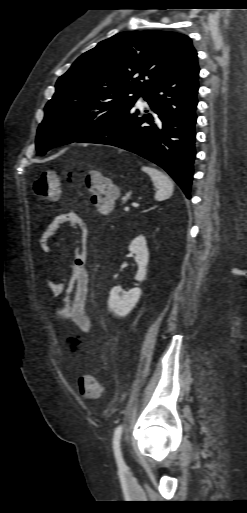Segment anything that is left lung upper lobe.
Listing matches in <instances>:
<instances>
[{"mask_svg":"<svg viewBox=\"0 0 247 513\" xmlns=\"http://www.w3.org/2000/svg\"><path fill=\"white\" fill-rule=\"evenodd\" d=\"M196 56L191 39L174 32H122L100 42L58 79L38 128L37 155L98 131Z\"/></svg>","mask_w":247,"mask_h":513,"instance_id":"obj_1","label":"left lung upper lobe"}]
</instances>
